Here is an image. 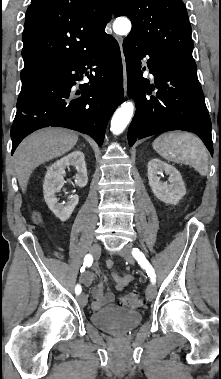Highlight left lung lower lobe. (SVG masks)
<instances>
[{
    "label": "left lung lower lobe",
    "mask_w": 221,
    "mask_h": 379,
    "mask_svg": "<svg viewBox=\"0 0 221 379\" xmlns=\"http://www.w3.org/2000/svg\"><path fill=\"white\" fill-rule=\"evenodd\" d=\"M127 64L128 94L136 102V113L129 126L128 142L171 131L185 130L198 135L211 154V121L204 101L196 67L169 60L128 35L123 42ZM148 55L155 83L142 77L140 60ZM157 89L156 93H152Z\"/></svg>",
    "instance_id": "1"
}]
</instances>
